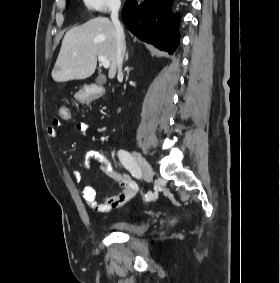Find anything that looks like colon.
Here are the masks:
<instances>
[{
	"instance_id": "obj_1",
	"label": "colon",
	"mask_w": 280,
	"mask_h": 283,
	"mask_svg": "<svg viewBox=\"0 0 280 283\" xmlns=\"http://www.w3.org/2000/svg\"><path fill=\"white\" fill-rule=\"evenodd\" d=\"M103 92L104 87H82V92L75 94V99H78L81 102H89L92 99L100 97ZM68 105H76V103H67V105H60V108H58V119H61L62 122H65L66 119H72L75 115V112L72 111V108H68Z\"/></svg>"
}]
</instances>
